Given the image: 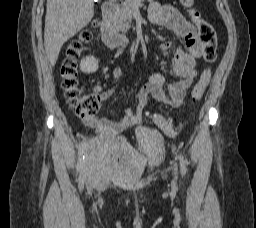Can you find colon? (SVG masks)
<instances>
[{"instance_id": "obj_1", "label": "colon", "mask_w": 256, "mask_h": 228, "mask_svg": "<svg viewBox=\"0 0 256 228\" xmlns=\"http://www.w3.org/2000/svg\"><path fill=\"white\" fill-rule=\"evenodd\" d=\"M183 7L189 10L192 20L198 28L199 39L203 45V59L213 62L217 55L218 40L216 31L211 24L201 18L199 12L193 8L194 0H180ZM96 25V22L94 23ZM93 39L92 28L84 29L77 39H74L67 47L65 58L62 62L60 73L62 87L69 106L81 118H94L100 107L101 99L96 94H83L78 83L77 58L82 53L86 44ZM211 79V70L206 69L195 85L191 99L199 101ZM151 121L161 128L167 135L175 136L178 128L168 119L160 114H151Z\"/></svg>"}]
</instances>
